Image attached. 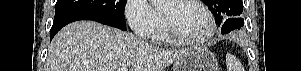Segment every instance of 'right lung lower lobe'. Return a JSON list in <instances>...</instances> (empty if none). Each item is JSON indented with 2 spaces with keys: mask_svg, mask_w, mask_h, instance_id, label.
I'll use <instances>...</instances> for the list:
<instances>
[{
  "mask_svg": "<svg viewBox=\"0 0 301 71\" xmlns=\"http://www.w3.org/2000/svg\"><path fill=\"white\" fill-rule=\"evenodd\" d=\"M78 20H92V21H96V22H99V23H102L105 25L119 28L121 30H126V27H123L118 21H116L110 17H107V16L99 14V13L82 12V13H76V14H72V15L54 20L53 26L50 30V41L62 27L69 24L70 22L78 21Z\"/></svg>",
  "mask_w": 301,
  "mask_h": 71,
  "instance_id": "right-lung-lower-lobe-1",
  "label": "right lung lower lobe"
}]
</instances>
